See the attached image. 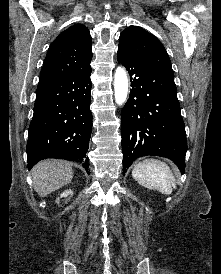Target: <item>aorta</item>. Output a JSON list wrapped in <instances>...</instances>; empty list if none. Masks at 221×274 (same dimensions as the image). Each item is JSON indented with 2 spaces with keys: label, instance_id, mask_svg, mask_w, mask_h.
<instances>
[{
  "label": "aorta",
  "instance_id": "762f6f07",
  "mask_svg": "<svg viewBox=\"0 0 221 274\" xmlns=\"http://www.w3.org/2000/svg\"><path fill=\"white\" fill-rule=\"evenodd\" d=\"M114 96L118 105L124 104L128 96V77L122 67H118L114 74Z\"/></svg>",
  "mask_w": 221,
  "mask_h": 274
}]
</instances>
